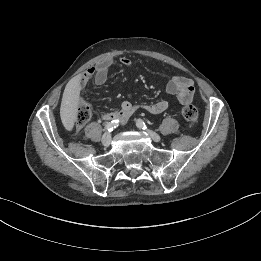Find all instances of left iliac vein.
I'll return each mask as SVG.
<instances>
[{
    "label": "left iliac vein",
    "instance_id": "left-iliac-vein-1",
    "mask_svg": "<svg viewBox=\"0 0 261 261\" xmlns=\"http://www.w3.org/2000/svg\"><path fill=\"white\" fill-rule=\"evenodd\" d=\"M146 132L150 135V137L155 141V142H160L161 140V137L155 133L154 131H151V130H146Z\"/></svg>",
    "mask_w": 261,
    "mask_h": 261
}]
</instances>
